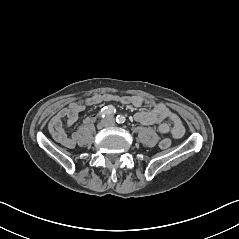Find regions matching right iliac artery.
Here are the masks:
<instances>
[{
  "label": "right iliac artery",
  "mask_w": 239,
  "mask_h": 239,
  "mask_svg": "<svg viewBox=\"0 0 239 239\" xmlns=\"http://www.w3.org/2000/svg\"><path fill=\"white\" fill-rule=\"evenodd\" d=\"M116 109L112 106H105L101 109V111L99 112V117H105L106 115H113L115 114Z\"/></svg>",
  "instance_id": "right-iliac-artery-1"
}]
</instances>
